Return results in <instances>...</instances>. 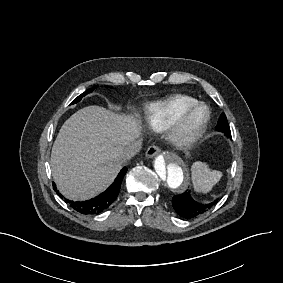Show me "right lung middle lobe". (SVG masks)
I'll return each mask as SVG.
<instances>
[{"label":"right lung middle lobe","mask_w":283,"mask_h":283,"mask_svg":"<svg viewBox=\"0 0 283 283\" xmlns=\"http://www.w3.org/2000/svg\"><path fill=\"white\" fill-rule=\"evenodd\" d=\"M93 89H94V87L88 89L86 92H84L83 94L79 95L76 99L73 100V102H72L71 104L78 103V102L81 100V98H82L83 96H85V95H87L88 93L92 92Z\"/></svg>","instance_id":"obj_1"}]
</instances>
